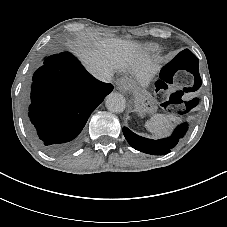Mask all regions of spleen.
Masks as SVG:
<instances>
[{
	"label": "spleen",
	"instance_id": "spleen-1",
	"mask_svg": "<svg viewBox=\"0 0 227 227\" xmlns=\"http://www.w3.org/2000/svg\"><path fill=\"white\" fill-rule=\"evenodd\" d=\"M169 117L165 114H155L147 122V127L157 136L166 135L171 126Z\"/></svg>",
	"mask_w": 227,
	"mask_h": 227
}]
</instances>
